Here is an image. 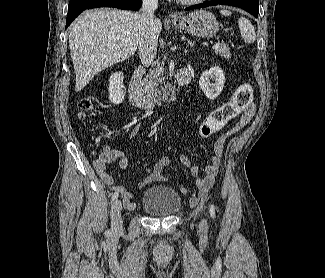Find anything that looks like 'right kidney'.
<instances>
[{
  "label": "right kidney",
  "mask_w": 325,
  "mask_h": 278,
  "mask_svg": "<svg viewBox=\"0 0 325 278\" xmlns=\"http://www.w3.org/2000/svg\"><path fill=\"white\" fill-rule=\"evenodd\" d=\"M126 93L125 86L123 85V73L116 72L110 76L109 80V99L113 104H120L124 100Z\"/></svg>",
  "instance_id": "1"
}]
</instances>
